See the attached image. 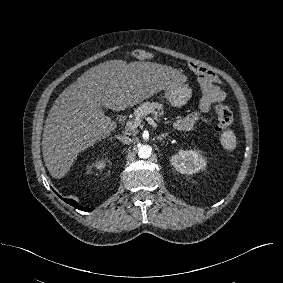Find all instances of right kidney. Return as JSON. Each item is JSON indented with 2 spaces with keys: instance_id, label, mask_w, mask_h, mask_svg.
Masks as SVG:
<instances>
[{
  "instance_id": "obj_1",
  "label": "right kidney",
  "mask_w": 283,
  "mask_h": 283,
  "mask_svg": "<svg viewBox=\"0 0 283 283\" xmlns=\"http://www.w3.org/2000/svg\"><path fill=\"white\" fill-rule=\"evenodd\" d=\"M105 165V160H99L94 163V167L98 170H102L103 168H105Z\"/></svg>"
}]
</instances>
